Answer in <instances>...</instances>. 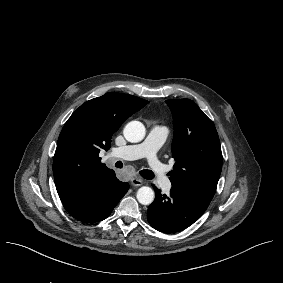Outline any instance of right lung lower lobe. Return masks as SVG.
<instances>
[{
	"label": "right lung lower lobe",
	"mask_w": 283,
	"mask_h": 283,
	"mask_svg": "<svg viewBox=\"0 0 283 283\" xmlns=\"http://www.w3.org/2000/svg\"><path fill=\"white\" fill-rule=\"evenodd\" d=\"M129 189L111 172L91 190L77 199L62 202L67 212L82 222H96L107 218Z\"/></svg>",
	"instance_id": "obj_1"
}]
</instances>
